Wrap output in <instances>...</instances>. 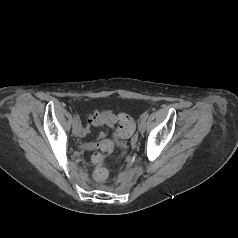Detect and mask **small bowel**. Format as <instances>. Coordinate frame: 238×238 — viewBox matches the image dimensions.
Listing matches in <instances>:
<instances>
[{
  "label": "small bowel",
  "instance_id": "small-bowel-1",
  "mask_svg": "<svg viewBox=\"0 0 238 238\" xmlns=\"http://www.w3.org/2000/svg\"><path fill=\"white\" fill-rule=\"evenodd\" d=\"M124 114L117 116L111 111H94L88 116V123L95 127H106L113 128L114 125L119 121L120 117ZM89 132V128L86 127L83 133L86 135ZM106 132H100L97 140L85 143L83 147L88 150L102 149L104 145L110 143L109 140H104Z\"/></svg>",
  "mask_w": 238,
  "mask_h": 238
}]
</instances>
